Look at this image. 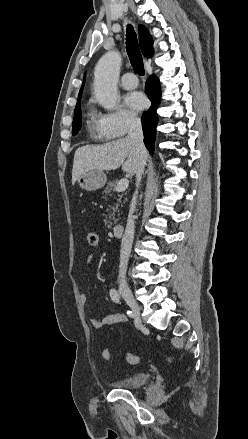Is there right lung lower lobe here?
Wrapping results in <instances>:
<instances>
[{
  "mask_svg": "<svg viewBox=\"0 0 248 439\" xmlns=\"http://www.w3.org/2000/svg\"><path fill=\"white\" fill-rule=\"evenodd\" d=\"M146 94L151 101V107L145 111L141 117L144 144L148 151L153 154L156 137V127L158 124L157 109L161 102V90L159 81L155 76H150L146 82Z\"/></svg>",
  "mask_w": 248,
  "mask_h": 439,
  "instance_id": "obj_1",
  "label": "right lung lower lobe"
}]
</instances>
